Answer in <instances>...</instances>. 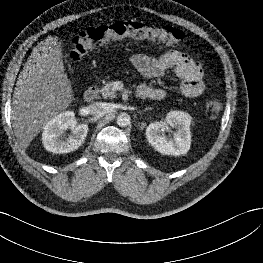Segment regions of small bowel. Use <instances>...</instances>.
Masks as SVG:
<instances>
[{
  "instance_id": "obj_1",
  "label": "small bowel",
  "mask_w": 263,
  "mask_h": 263,
  "mask_svg": "<svg viewBox=\"0 0 263 263\" xmlns=\"http://www.w3.org/2000/svg\"><path fill=\"white\" fill-rule=\"evenodd\" d=\"M130 62L147 79L159 78L166 71L173 70L179 79L178 92L185 97H197L205 90L201 66L190 56L180 51L170 50L159 58L134 54L131 56ZM139 90L145 92V98L149 99H162L166 95L164 90L148 85L140 86Z\"/></svg>"
}]
</instances>
